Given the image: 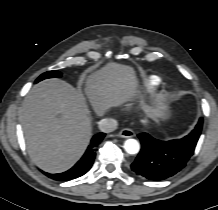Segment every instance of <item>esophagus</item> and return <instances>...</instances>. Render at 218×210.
<instances>
[{
  "label": "esophagus",
  "instance_id": "1",
  "mask_svg": "<svg viewBox=\"0 0 218 210\" xmlns=\"http://www.w3.org/2000/svg\"><path fill=\"white\" fill-rule=\"evenodd\" d=\"M135 135L134 131L129 128H124L119 132V136L122 138H130Z\"/></svg>",
  "mask_w": 218,
  "mask_h": 210
}]
</instances>
